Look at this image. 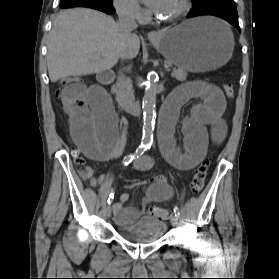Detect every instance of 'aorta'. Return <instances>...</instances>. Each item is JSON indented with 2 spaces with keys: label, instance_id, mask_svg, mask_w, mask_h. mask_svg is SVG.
I'll list each match as a JSON object with an SVG mask.
<instances>
[{
  "label": "aorta",
  "instance_id": "obj_1",
  "mask_svg": "<svg viewBox=\"0 0 279 279\" xmlns=\"http://www.w3.org/2000/svg\"><path fill=\"white\" fill-rule=\"evenodd\" d=\"M155 73H150L142 100L143 136L142 144L149 145L153 139V130L156 118L157 79Z\"/></svg>",
  "mask_w": 279,
  "mask_h": 279
}]
</instances>
